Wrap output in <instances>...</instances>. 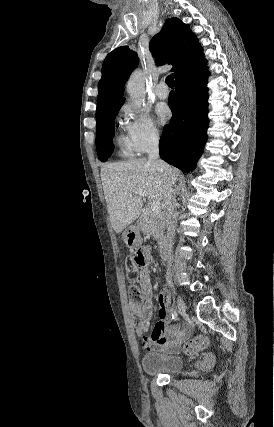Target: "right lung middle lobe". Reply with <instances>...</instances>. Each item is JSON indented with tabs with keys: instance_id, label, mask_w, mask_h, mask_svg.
Listing matches in <instances>:
<instances>
[{
	"instance_id": "obj_1",
	"label": "right lung middle lobe",
	"mask_w": 274,
	"mask_h": 427,
	"mask_svg": "<svg viewBox=\"0 0 274 427\" xmlns=\"http://www.w3.org/2000/svg\"><path fill=\"white\" fill-rule=\"evenodd\" d=\"M124 100L96 113V147L98 158L105 162L113 151L112 137L114 134L113 120L121 108Z\"/></svg>"
}]
</instances>
